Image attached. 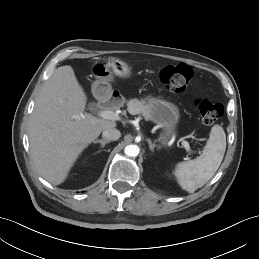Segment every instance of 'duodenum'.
Returning a JSON list of instances; mask_svg holds the SVG:
<instances>
[{
	"mask_svg": "<svg viewBox=\"0 0 259 259\" xmlns=\"http://www.w3.org/2000/svg\"><path fill=\"white\" fill-rule=\"evenodd\" d=\"M100 106L113 107L121 103V95L118 91H113L111 94L106 95L99 99Z\"/></svg>",
	"mask_w": 259,
	"mask_h": 259,
	"instance_id": "duodenum-1",
	"label": "duodenum"
}]
</instances>
